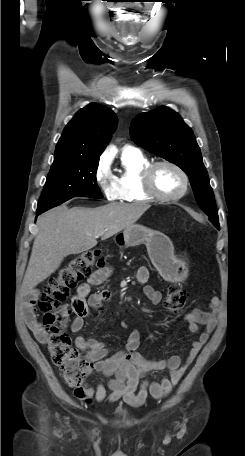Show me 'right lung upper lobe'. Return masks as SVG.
<instances>
[{"label": "right lung upper lobe", "instance_id": "obj_1", "mask_svg": "<svg viewBox=\"0 0 245 456\" xmlns=\"http://www.w3.org/2000/svg\"><path fill=\"white\" fill-rule=\"evenodd\" d=\"M116 125L117 116L112 110L97 103L87 105L66 125L57 143L53 163L74 158H99Z\"/></svg>", "mask_w": 245, "mask_h": 456}]
</instances>
